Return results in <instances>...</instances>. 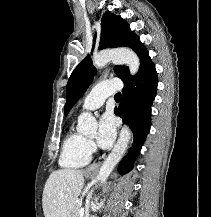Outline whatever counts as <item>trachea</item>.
<instances>
[{
    "instance_id": "1",
    "label": "trachea",
    "mask_w": 211,
    "mask_h": 217,
    "mask_svg": "<svg viewBox=\"0 0 211 217\" xmlns=\"http://www.w3.org/2000/svg\"><path fill=\"white\" fill-rule=\"evenodd\" d=\"M120 97H121V93L115 94V98H120Z\"/></svg>"
}]
</instances>
